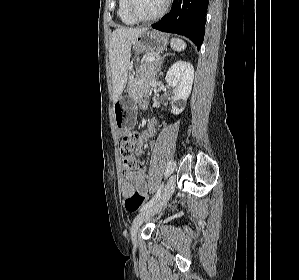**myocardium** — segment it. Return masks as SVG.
Instances as JSON below:
<instances>
[{
	"instance_id": "f54148a6",
	"label": "myocardium",
	"mask_w": 299,
	"mask_h": 280,
	"mask_svg": "<svg viewBox=\"0 0 299 280\" xmlns=\"http://www.w3.org/2000/svg\"><path fill=\"white\" fill-rule=\"evenodd\" d=\"M170 1L171 0H165L162 8L156 14L150 17H141L134 11L133 8L134 0H126V10L129 16L136 22H140V23L152 22L161 18L165 14V12L167 11L170 5Z\"/></svg>"
}]
</instances>
